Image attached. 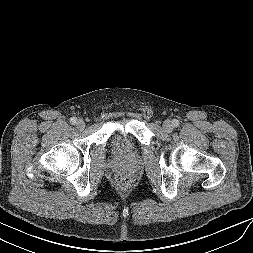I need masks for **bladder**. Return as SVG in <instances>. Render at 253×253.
<instances>
[{"label": "bladder", "instance_id": "31cf9c89", "mask_svg": "<svg viewBox=\"0 0 253 253\" xmlns=\"http://www.w3.org/2000/svg\"><path fill=\"white\" fill-rule=\"evenodd\" d=\"M131 139L126 134L118 133L113 138V146L118 153H126L130 150Z\"/></svg>", "mask_w": 253, "mask_h": 253}]
</instances>
